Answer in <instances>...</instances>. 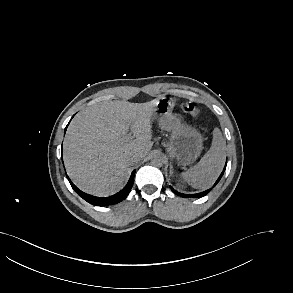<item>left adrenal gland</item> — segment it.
<instances>
[{"label":"left adrenal gland","instance_id":"1","mask_svg":"<svg viewBox=\"0 0 293 293\" xmlns=\"http://www.w3.org/2000/svg\"><path fill=\"white\" fill-rule=\"evenodd\" d=\"M170 176H172L173 175V167H172V164H170Z\"/></svg>","mask_w":293,"mask_h":293}]
</instances>
